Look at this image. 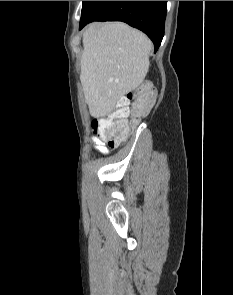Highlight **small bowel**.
I'll return each mask as SVG.
<instances>
[{"mask_svg":"<svg viewBox=\"0 0 233 295\" xmlns=\"http://www.w3.org/2000/svg\"><path fill=\"white\" fill-rule=\"evenodd\" d=\"M92 141H93V145H94L93 149L95 151H98L101 154L108 153V148L106 147L105 143L102 140H100L96 137H93Z\"/></svg>","mask_w":233,"mask_h":295,"instance_id":"small-bowel-1","label":"small bowel"}]
</instances>
